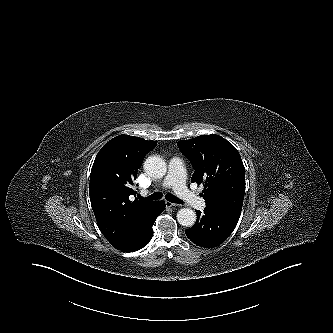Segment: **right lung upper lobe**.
<instances>
[{
    "instance_id": "right-lung-upper-lobe-1",
    "label": "right lung upper lobe",
    "mask_w": 333,
    "mask_h": 333,
    "mask_svg": "<svg viewBox=\"0 0 333 333\" xmlns=\"http://www.w3.org/2000/svg\"><path fill=\"white\" fill-rule=\"evenodd\" d=\"M155 141L119 135L98 152L90 174L89 195L100 231L116 249L127 245L154 213L156 203L135 199L131 188L144 156Z\"/></svg>"
}]
</instances>
